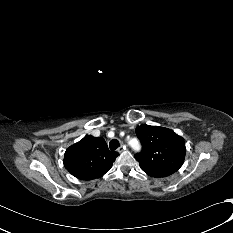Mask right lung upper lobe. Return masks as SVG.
Returning <instances> with one entry per match:
<instances>
[{"label": "right lung upper lobe", "instance_id": "1", "mask_svg": "<svg viewBox=\"0 0 233 233\" xmlns=\"http://www.w3.org/2000/svg\"><path fill=\"white\" fill-rule=\"evenodd\" d=\"M118 155L109 151L103 138L87 135L66 150L63 162L76 178L92 180L109 171Z\"/></svg>", "mask_w": 233, "mask_h": 233}]
</instances>
